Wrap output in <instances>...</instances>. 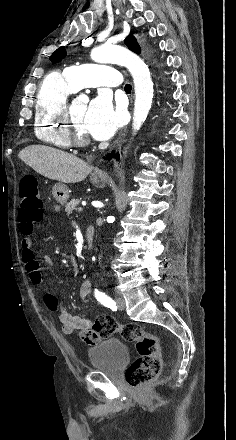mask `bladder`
Returning a JSON list of instances; mask_svg holds the SVG:
<instances>
[{
	"label": "bladder",
	"instance_id": "1",
	"mask_svg": "<svg viewBox=\"0 0 236 440\" xmlns=\"http://www.w3.org/2000/svg\"><path fill=\"white\" fill-rule=\"evenodd\" d=\"M91 369L109 376H117L129 360L127 346L116 338H109L88 349Z\"/></svg>",
	"mask_w": 236,
	"mask_h": 440
}]
</instances>
